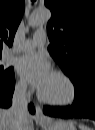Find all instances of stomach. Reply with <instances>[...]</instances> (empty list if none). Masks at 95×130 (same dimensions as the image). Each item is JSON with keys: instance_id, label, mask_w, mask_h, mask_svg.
Returning a JSON list of instances; mask_svg holds the SVG:
<instances>
[{"instance_id": "obj_1", "label": "stomach", "mask_w": 95, "mask_h": 130, "mask_svg": "<svg viewBox=\"0 0 95 130\" xmlns=\"http://www.w3.org/2000/svg\"><path fill=\"white\" fill-rule=\"evenodd\" d=\"M44 130H77L75 123L71 120H50L48 123L41 124Z\"/></svg>"}]
</instances>
